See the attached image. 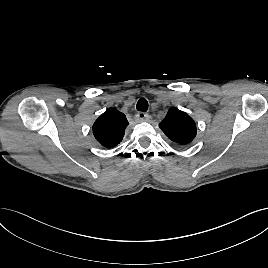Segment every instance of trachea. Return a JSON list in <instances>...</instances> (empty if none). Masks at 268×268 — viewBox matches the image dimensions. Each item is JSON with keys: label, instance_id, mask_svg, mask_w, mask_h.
Listing matches in <instances>:
<instances>
[{"label": "trachea", "instance_id": "1", "mask_svg": "<svg viewBox=\"0 0 268 268\" xmlns=\"http://www.w3.org/2000/svg\"><path fill=\"white\" fill-rule=\"evenodd\" d=\"M138 111L141 112H146L148 110V102L145 98L139 99L137 106H136Z\"/></svg>", "mask_w": 268, "mask_h": 268}]
</instances>
